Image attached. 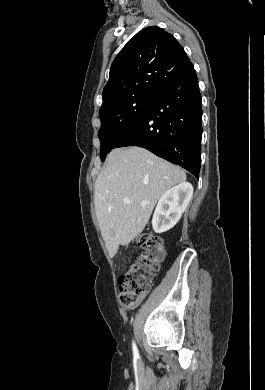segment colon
I'll list each match as a JSON object with an SVG mask.
<instances>
[{"instance_id": "obj_1", "label": "colon", "mask_w": 265, "mask_h": 390, "mask_svg": "<svg viewBox=\"0 0 265 390\" xmlns=\"http://www.w3.org/2000/svg\"><path fill=\"white\" fill-rule=\"evenodd\" d=\"M141 253L119 278L121 304L131 306L144 298L164 258L162 239L154 233H143L138 239Z\"/></svg>"}]
</instances>
